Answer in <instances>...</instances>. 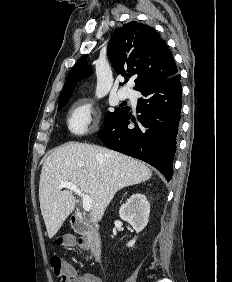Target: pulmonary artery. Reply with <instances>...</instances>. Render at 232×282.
<instances>
[{
  "label": "pulmonary artery",
  "instance_id": "1",
  "mask_svg": "<svg viewBox=\"0 0 232 282\" xmlns=\"http://www.w3.org/2000/svg\"><path fill=\"white\" fill-rule=\"evenodd\" d=\"M118 95L120 99H125V98H129L131 96V93L128 90H122L119 92Z\"/></svg>",
  "mask_w": 232,
  "mask_h": 282
}]
</instances>
